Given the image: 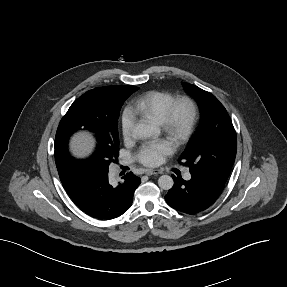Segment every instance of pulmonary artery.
<instances>
[{"mask_svg": "<svg viewBox=\"0 0 287 287\" xmlns=\"http://www.w3.org/2000/svg\"><path fill=\"white\" fill-rule=\"evenodd\" d=\"M184 178H185L186 180H189V179L191 178V173H190L189 171H186V172L184 173Z\"/></svg>", "mask_w": 287, "mask_h": 287, "instance_id": "1", "label": "pulmonary artery"}]
</instances>
